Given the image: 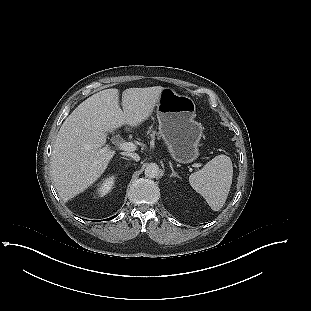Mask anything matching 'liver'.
<instances>
[{
	"mask_svg": "<svg viewBox=\"0 0 311 311\" xmlns=\"http://www.w3.org/2000/svg\"><path fill=\"white\" fill-rule=\"evenodd\" d=\"M161 86L106 89L79 104L63 122L53 145L51 176L59 195L69 200L92 185L115 155L105 149L107 133L127 125L137 127L157 105ZM103 147V148H102Z\"/></svg>",
	"mask_w": 311,
	"mask_h": 311,
	"instance_id": "liver-1",
	"label": "liver"
}]
</instances>
